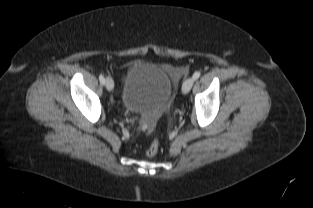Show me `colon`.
<instances>
[{
	"label": "colon",
	"instance_id": "obj_1",
	"mask_svg": "<svg viewBox=\"0 0 313 208\" xmlns=\"http://www.w3.org/2000/svg\"><path fill=\"white\" fill-rule=\"evenodd\" d=\"M159 147V140L157 138L153 139V141L150 143L146 150V155L149 157L155 156L158 153Z\"/></svg>",
	"mask_w": 313,
	"mask_h": 208
}]
</instances>
